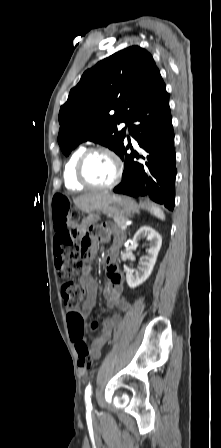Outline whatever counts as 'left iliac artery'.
Returning a JSON list of instances; mask_svg holds the SVG:
<instances>
[{
	"instance_id": "left-iliac-artery-1",
	"label": "left iliac artery",
	"mask_w": 221,
	"mask_h": 448,
	"mask_svg": "<svg viewBox=\"0 0 221 448\" xmlns=\"http://www.w3.org/2000/svg\"><path fill=\"white\" fill-rule=\"evenodd\" d=\"M91 385H88L85 389V402H86V408L87 410L92 409V403H91Z\"/></svg>"
}]
</instances>
